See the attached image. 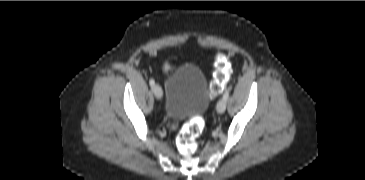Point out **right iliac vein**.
Instances as JSON below:
<instances>
[{"instance_id": "63e3f726", "label": "right iliac vein", "mask_w": 365, "mask_h": 180, "mask_svg": "<svg viewBox=\"0 0 365 180\" xmlns=\"http://www.w3.org/2000/svg\"><path fill=\"white\" fill-rule=\"evenodd\" d=\"M152 90H153V93H154V95L157 99L162 98L163 92H162V89L159 85H154Z\"/></svg>"}]
</instances>
